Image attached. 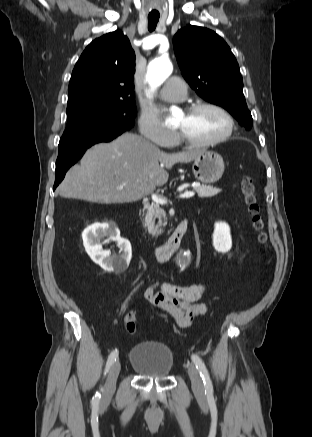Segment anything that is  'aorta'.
Masks as SVG:
<instances>
[{
    "label": "aorta",
    "mask_w": 312,
    "mask_h": 437,
    "mask_svg": "<svg viewBox=\"0 0 312 437\" xmlns=\"http://www.w3.org/2000/svg\"><path fill=\"white\" fill-rule=\"evenodd\" d=\"M173 67L169 60L157 58L152 60L147 69L146 81L149 84L150 92H155L158 87L172 73Z\"/></svg>",
    "instance_id": "762f6f07"
}]
</instances>
